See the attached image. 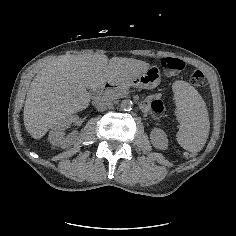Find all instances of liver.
<instances>
[{
    "instance_id": "liver-1",
    "label": "liver",
    "mask_w": 236,
    "mask_h": 236,
    "mask_svg": "<svg viewBox=\"0 0 236 236\" xmlns=\"http://www.w3.org/2000/svg\"><path fill=\"white\" fill-rule=\"evenodd\" d=\"M32 80L23 108L25 130L39 140L53 127L90 105L91 93L106 82L117 85L138 76L148 66L133 58L108 57L93 52L42 59Z\"/></svg>"
}]
</instances>
